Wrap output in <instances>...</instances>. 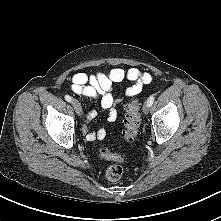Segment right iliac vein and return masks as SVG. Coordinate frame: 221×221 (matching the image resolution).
<instances>
[{
    "label": "right iliac vein",
    "mask_w": 221,
    "mask_h": 221,
    "mask_svg": "<svg viewBox=\"0 0 221 221\" xmlns=\"http://www.w3.org/2000/svg\"><path fill=\"white\" fill-rule=\"evenodd\" d=\"M71 103H72V106L75 109L76 113L78 114V116H82L83 111H82V107H81L79 101L76 99H72Z\"/></svg>",
    "instance_id": "obj_1"
}]
</instances>
